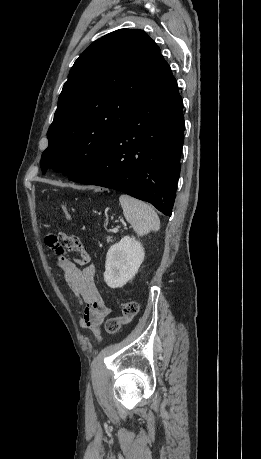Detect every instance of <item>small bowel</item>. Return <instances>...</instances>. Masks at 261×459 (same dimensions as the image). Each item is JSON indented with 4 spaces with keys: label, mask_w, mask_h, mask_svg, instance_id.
<instances>
[{
    "label": "small bowel",
    "mask_w": 261,
    "mask_h": 459,
    "mask_svg": "<svg viewBox=\"0 0 261 459\" xmlns=\"http://www.w3.org/2000/svg\"><path fill=\"white\" fill-rule=\"evenodd\" d=\"M45 243L56 251L59 266L68 286L85 303L81 318L82 327L92 330L100 340L99 327L109 315L110 309L97 288L95 266L91 256L77 237L66 233L48 234ZM65 251L73 252L77 256L69 258L65 256Z\"/></svg>",
    "instance_id": "obj_1"
}]
</instances>
